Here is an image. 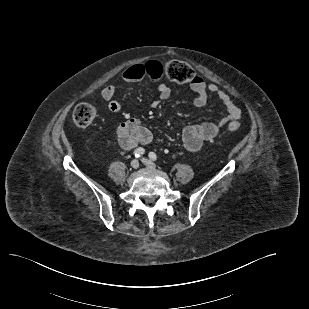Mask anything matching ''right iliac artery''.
Listing matches in <instances>:
<instances>
[{
	"label": "right iliac artery",
	"mask_w": 309,
	"mask_h": 309,
	"mask_svg": "<svg viewBox=\"0 0 309 309\" xmlns=\"http://www.w3.org/2000/svg\"><path fill=\"white\" fill-rule=\"evenodd\" d=\"M144 152H145L144 148L139 147V148H137V149L134 151V156H135L136 158H138V157L142 156V155L144 154Z\"/></svg>",
	"instance_id": "82829eb1"
}]
</instances>
